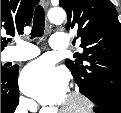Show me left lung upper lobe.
<instances>
[{
    "mask_svg": "<svg viewBox=\"0 0 121 113\" xmlns=\"http://www.w3.org/2000/svg\"><path fill=\"white\" fill-rule=\"evenodd\" d=\"M77 31L83 53L67 59L79 90L89 98L105 97L121 103V26L110 0H59ZM75 42V41H74Z\"/></svg>",
    "mask_w": 121,
    "mask_h": 113,
    "instance_id": "left-lung-upper-lobe-1",
    "label": "left lung upper lobe"
}]
</instances>
